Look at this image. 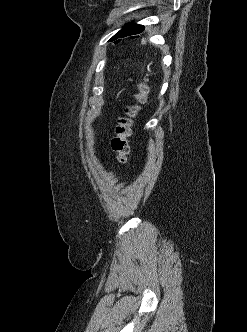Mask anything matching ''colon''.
I'll use <instances>...</instances> for the list:
<instances>
[{
    "label": "colon",
    "mask_w": 247,
    "mask_h": 332,
    "mask_svg": "<svg viewBox=\"0 0 247 332\" xmlns=\"http://www.w3.org/2000/svg\"><path fill=\"white\" fill-rule=\"evenodd\" d=\"M150 87L146 76L137 84L133 101L124 107L123 115L117 119L115 136L111 140V148L119 164H126L130 151L128 139L132 134L134 118L140 107L146 103Z\"/></svg>",
    "instance_id": "5ec220e1"
}]
</instances>
